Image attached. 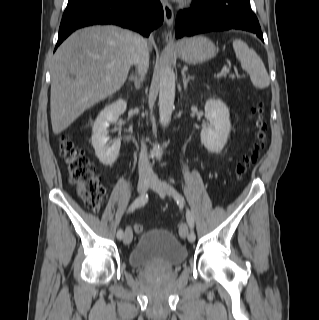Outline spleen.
I'll return each mask as SVG.
<instances>
[{"label":"spleen","instance_id":"3e777b00","mask_svg":"<svg viewBox=\"0 0 319 320\" xmlns=\"http://www.w3.org/2000/svg\"><path fill=\"white\" fill-rule=\"evenodd\" d=\"M233 49L241 67L250 75L253 85L258 89L268 87L270 78L259 55L241 39L233 40Z\"/></svg>","mask_w":319,"mask_h":320}]
</instances>
